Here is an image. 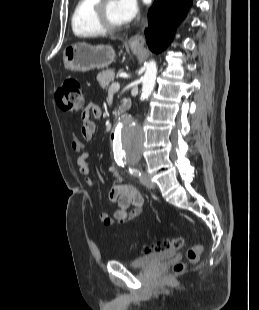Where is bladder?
I'll use <instances>...</instances> for the list:
<instances>
[{"label": "bladder", "instance_id": "bladder-1", "mask_svg": "<svg viewBox=\"0 0 259 310\" xmlns=\"http://www.w3.org/2000/svg\"><path fill=\"white\" fill-rule=\"evenodd\" d=\"M173 251L154 252L145 254L142 257L134 259L128 263L130 268H146L159 262L171 259L175 256Z\"/></svg>", "mask_w": 259, "mask_h": 310}]
</instances>
